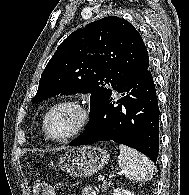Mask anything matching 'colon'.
Here are the masks:
<instances>
[{
	"mask_svg": "<svg viewBox=\"0 0 189 195\" xmlns=\"http://www.w3.org/2000/svg\"><path fill=\"white\" fill-rule=\"evenodd\" d=\"M34 195H55L54 189L43 179H37L33 185Z\"/></svg>",
	"mask_w": 189,
	"mask_h": 195,
	"instance_id": "obj_1",
	"label": "colon"
}]
</instances>
